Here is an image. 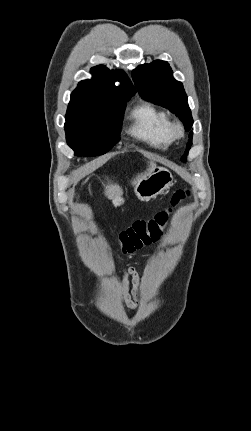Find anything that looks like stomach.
Returning a JSON list of instances; mask_svg holds the SVG:
<instances>
[{
  "label": "stomach",
  "mask_w": 251,
  "mask_h": 431,
  "mask_svg": "<svg viewBox=\"0 0 251 431\" xmlns=\"http://www.w3.org/2000/svg\"><path fill=\"white\" fill-rule=\"evenodd\" d=\"M173 183L172 173L164 168L155 166L144 177L139 179L135 185V194L142 201H149L156 198L157 195L167 191ZM124 203L122 197L112 199L115 207Z\"/></svg>",
  "instance_id": "1"
}]
</instances>
